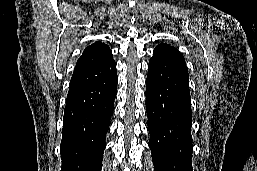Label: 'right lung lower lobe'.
Instances as JSON below:
<instances>
[{"label": "right lung lower lobe", "instance_id": "98d812e1", "mask_svg": "<svg viewBox=\"0 0 257 171\" xmlns=\"http://www.w3.org/2000/svg\"><path fill=\"white\" fill-rule=\"evenodd\" d=\"M116 93L113 58L74 68L63 117L61 171H101Z\"/></svg>", "mask_w": 257, "mask_h": 171}]
</instances>
